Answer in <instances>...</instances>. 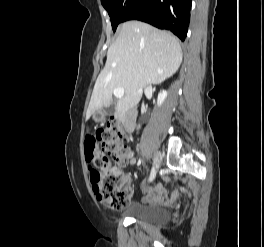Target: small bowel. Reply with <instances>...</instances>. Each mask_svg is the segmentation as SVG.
Segmentation results:
<instances>
[{
  "label": "small bowel",
  "instance_id": "c3829d8e",
  "mask_svg": "<svg viewBox=\"0 0 264 247\" xmlns=\"http://www.w3.org/2000/svg\"><path fill=\"white\" fill-rule=\"evenodd\" d=\"M127 159L132 162L131 152H127ZM130 180L129 178L127 179ZM146 202L164 201L169 202L170 199L166 196L165 188L161 184H156L151 188H145V194L143 197Z\"/></svg>",
  "mask_w": 264,
  "mask_h": 247
}]
</instances>
